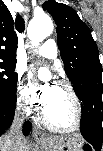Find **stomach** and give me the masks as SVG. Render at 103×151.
Listing matches in <instances>:
<instances>
[{
	"label": "stomach",
	"mask_w": 103,
	"mask_h": 151,
	"mask_svg": "<svg viewBox=\"0 0 103 151\" xmlns=\"http://www.w3.org/2000/svg\"><path fill=\"white\" fill-rule=\"evenodd\" d=\"M41 145L47 151H84L86 145L79 136H53L46 139Z\"/></svg>",
	"instance_id": "stomach-1"
}]
</instances>
